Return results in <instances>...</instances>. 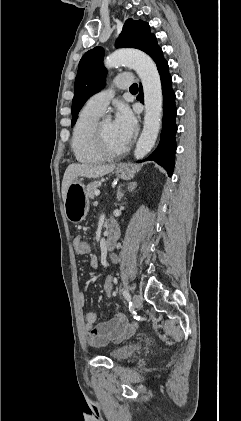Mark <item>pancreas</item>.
Segmentation results:
<instances>
[{"label":"pancreas","instance_id":"cf45deb5","mask_svg":"<svg viewBox=\"0 0 241 421\" xmlns=\"http://www.w3.org/2000/svg\"><path fill=\"white\" fill-rule=\"evenodd\" d=\"M100 186V182L99 181H94L91 182L90 184L87 185V196L91 199L94 198L95 196V191L98 190V187Z\"/></svg>","mask_w":241,"mask_h":421}]
</instances>
